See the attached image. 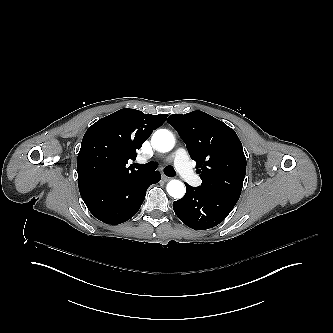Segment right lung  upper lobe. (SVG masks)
I'll return each instance as SVG.
<instances>
[{
	"instance_id": "cb5924a9",
	"label": "right lung upper lobe",
	"mask_w": 333,
	"mask_h": 333,
	"mask_svg": "<svg viewBox=\"0 0 333 333\" xmlns=\"http://www.w3.org/2000/svg\"><path fill=\"white\" fill-rule=\"evenodd\" d=\"M167 116L125 108L98 120L83 137L77 158L78 180L100 176L114 179L135 173L133 167L126 166L128 160L136 159V150Z\"/></svg>"
}]
</instances>
